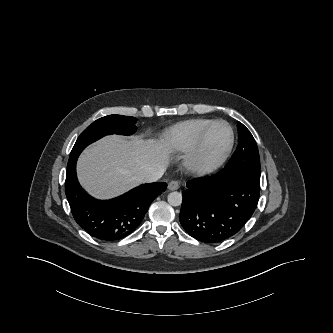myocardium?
I'll return each instance as SVG.
<instances>
[{
	"instance_id": "1",
	"label": "myocardium",
	"mask_w": 333,
	"mask_h": 333,
	"mask_svg": "<svg viewBox=\"0 0 333 333\" xmlns=\"http://www.w3.org/2000/svg\"><path fill=\"white\" fill-rule=\"evenodd\" d=\"M217 124H223L229 131V140L222 153L213 160L205 161L202 153L212 128ZM234 131L231 125L225 120H214L202 132L195 145L190 149L185 158L186 165L193 171L200 174H209L220 168L229 157L234 146Z\"/></svg>"
}]
</instances>
